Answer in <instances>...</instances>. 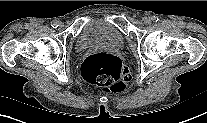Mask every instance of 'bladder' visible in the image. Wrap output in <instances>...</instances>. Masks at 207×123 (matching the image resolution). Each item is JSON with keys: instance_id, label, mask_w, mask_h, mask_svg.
<instances>
[{"instance_id": "obj_1", "label": "bladder", "mask_w": 207, "mask_h": 123, "mask_svg": "<svg viewBox=\"0 0 207 123\" xmlns=\"http://www.w3.org/2000/svg\"><path fill=\"white\" fill-rule=\"evenodd\" d=\"M125 39L119 28L104 19L88 21L81 29L76 48L83 52L90 49H116L124 45Z\"/></svg>"}]
</instances>
